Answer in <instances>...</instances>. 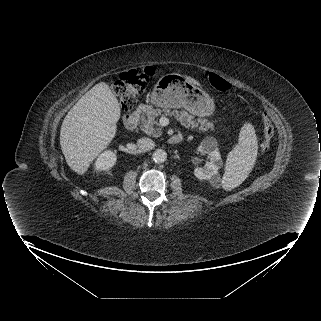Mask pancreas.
Wrapping results in <instances>:
<instances>
[{
    "mask_svg": "<svg viewBox=\"0 0 321 321\" xmlns=\"http://www.w3.org/2000/svg\"><path fill=\"white\" fill-rule=\"evenodd\" d=\"M159 116H174L181 125L189 129L198 128L199 132H207L209 129L214 130L213 122L208 121L207 119L198 118L194 119L192 115L188 112L181 110H169V109H150L147 110L141 116L140 128L147 135L153 137H159L162 135V127L157 122Z\"/></svg>",
    "mask_w": 321,
    "mask_h": 321,
    "instance_id": "pancreas-1",
    "label": "pancreas"
}]
</instances>
